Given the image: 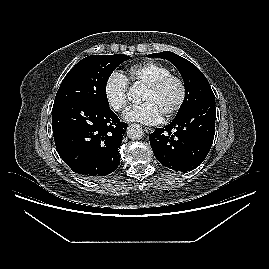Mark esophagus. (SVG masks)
<instances>
[{
    "label": "esophagus",
    "instance_id": "obj_1",
    "mask_svg": "<svg viewBox=\"0 0 269 269\" xmlns=\"http://www.w3.org/2000/svg\"><path fill=\"white\" fill-rule=\"evenodd\" d=\"M144 130H145V132L148 133V134H150V133H152V132L154 131V129L151 128V127H144Z\"/></svg>",
    "mask_w": 269,
    "mask_h": 269
}]
</instances>
